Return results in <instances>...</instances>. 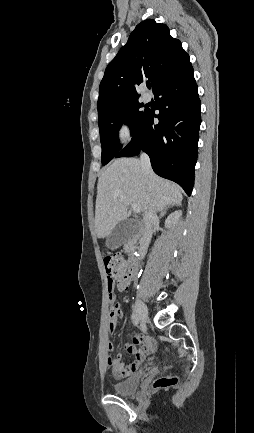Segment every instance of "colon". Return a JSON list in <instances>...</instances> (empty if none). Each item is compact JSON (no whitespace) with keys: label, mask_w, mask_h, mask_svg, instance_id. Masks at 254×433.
Returning a JSON list of instances; mask_svg holds the SVG:
<instances>
[{"label":"colon","mask_w":254,"mask_h":433,"mask_svg":"<svg viewBox=\"0 0 254 433\" xmlns=\"http://www.w3.org/2000/svg\"><path fill=\"white\" fill-rule=\"evenodd\" d=\"M109 290L114 285H124L129 281L128 261L120 254L106 255L103 259ZM176 382L174 377H161L157 379L153 387L155 389L165 388Z\"/></svg>","instance_id":"colon-1"}]
</instances>
